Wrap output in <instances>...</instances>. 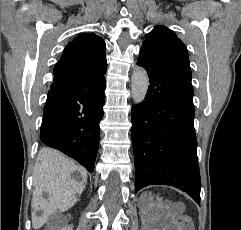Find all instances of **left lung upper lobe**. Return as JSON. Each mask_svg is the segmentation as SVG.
<instances>
[{"mask_svg":"<svg viewBox=\"0 0 241 230\" xmlns=\"http://www.w3.org/2000/svg\"><path fill=\"white\" fill-rule=\"evenodd\" d=\"M149 66L191 80L188 51L184 43L164 26L145 37L139 58Z\"/></svg>","mask_w":241,"mask_h":230,"instance_id":"left-lung-upper-lobe-1","label":"left lung upper lobe"}]
</instances>
